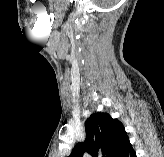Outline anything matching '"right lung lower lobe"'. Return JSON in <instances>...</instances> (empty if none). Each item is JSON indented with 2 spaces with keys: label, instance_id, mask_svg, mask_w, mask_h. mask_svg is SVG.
<instances>
[{
  "label": "right lung lower lobe",
  "instance_id": "98d812e1",
  "mask_svg": "<svg viewBox=\"0 0 164 157\" xmlns=\"http://www.w3.org/2000/svg\"><path fill=\"white\" fill-rule=\"evenodd\" d=\"M117 157H136V153L132 148L129 140L125 143L121 151L118 153Z\"/></svg>",
  "mask_w": 164,
  "mask_h": 157
}]
</instances>
